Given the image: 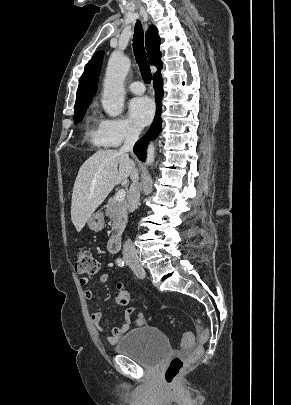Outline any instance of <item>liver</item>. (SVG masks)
<instances>
[{
  "label": "liver",
  "instance_id": "obj_1",
  "mask_svg": "<svg viewBox=\"0 0 291 405\" xmlns=\"http://www.w3.org/2000/svg\"><path fill=\"white\" fill-rule=\"evenodd\" d=\"M133 165L127 153L109 149L97 151L83 163L71 203V220L78 232L113 188L127 180Z\"/></svg>",
  "mask_w": 291,
  "mask_h": 405
}]
</instances>
